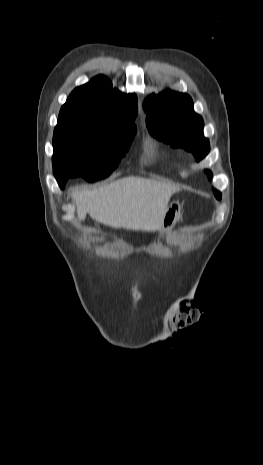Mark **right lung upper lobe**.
I'll list each match as a JSON object with an SVG mask.
<instances>
[{
	"mask_svg": "<svg viewBox=\"0 0 263 465\" xmlns=\"http://www.w3.org/2000/svg\"><path fill=\"white\" fill-rule=\"evenodd\" d=\"M60 114H83L113 121H134L137 98L113 89L111 82L99 75L76 88L62 106Z\"/></svg>",
	"mask_w": 263,
	"mask_h": 465,
	"instance_id": "obj_1",
	"label": "right lung upper lobe"
}]
</instances>
